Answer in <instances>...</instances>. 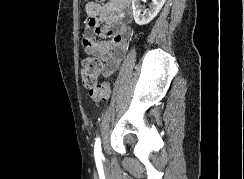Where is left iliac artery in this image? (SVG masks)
Instances as JSON below:
<instances>
[{
    "label": "left iliac artery",
    "mask_w": 244,
    "mask_h": 179,
    "mask_svg": "<svg viewBox=\"0 0 244 179\" xmlns=\"http://www.w3.org/2000/svg\"><path fill=\"white\" fill-rule=\"evenodd\" d=\"M94 154L95 156H101L103 157V154L101 152V142H100V138L96 139L95 145H94Z\"/></svg>",
    "instance_id": "left-iliac-artery-1"
}]
</instances>
